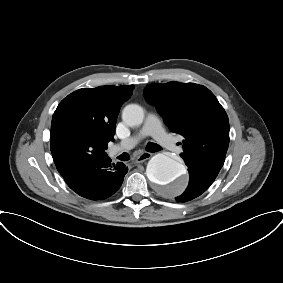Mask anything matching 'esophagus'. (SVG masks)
I'll list each match as a JSON object with an SVG mask.
<instances>
[{
    "label": "esophagus",
    "instance_id": "1",
    "mask_svg": "<svg viewBox=\"0 0 283 283\" xmlns=\"http://www.w3.org/2000/svg\"><path fill=\"white\" fill-rule=\"evenodd\" d=\"M152 157V154L149 152H142L139 154V156L135 159L136 163H143L146 160L150 159Z\"/></svg>",
    "mask_w": 283,
    "mask_h": 283
}]
</instances>
